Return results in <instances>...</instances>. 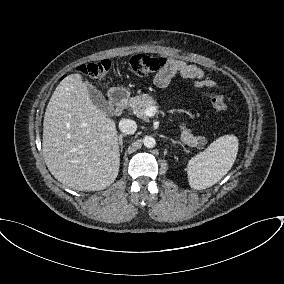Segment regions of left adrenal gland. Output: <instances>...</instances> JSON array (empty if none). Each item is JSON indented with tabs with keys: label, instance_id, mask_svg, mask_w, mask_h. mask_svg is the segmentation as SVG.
Returning a JSON list of instances; mask_svg holds the SVG:
<instances>
[{
	"label": "left adrenal gland",
	"instance_id": "left-adrenal-gland-1",
	"mask_svg": "<svg viewBox=\"0 0 284 284\" xmlns=\"http://www.w3.org/2000/svg\"><path fill=\"white\" fill-rule=\"evenodd\" d=\"M171 142H172L173 144H179V145H181V146L184 148V150H186L185 147H184V145H183L181 142H179V141H177V140H174V139H171Z\"/></svg>",
	"mask_w": 284,
	"mask_h": 284
}]
</instances>
